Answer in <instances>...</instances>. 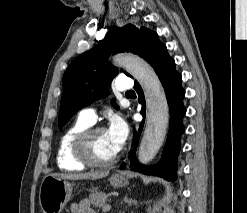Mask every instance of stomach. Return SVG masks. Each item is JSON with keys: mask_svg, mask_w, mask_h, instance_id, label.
I'll return each mask as SVG.
<instances>
[{"mask_svg": "<svg viewBox=\"0 0 247 213\" xmlns=\"http://www.w3.org/2000/svg\"><path fill=\"white\" fill-rule=\"evenodd\" d=\"M113 187H123L128 180L122 173H116L109 179ZM73 184L51 175L42 180L39 191V204L43 213H60L70 200Z\"/></svg>", "mask_w": 247, "mask_h": 213, "instance_id": "obj_1", "label": "stomach"}]
</instances>
